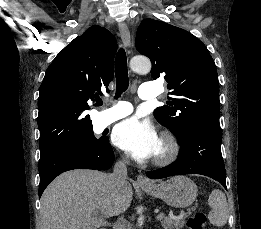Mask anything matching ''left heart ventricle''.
<instances>
[{"instance_id":"left-heart-ventricle-1","label":"left heart ventricle","mask_w":261,"mask_h":229,"mask_svg":"<svg viewBox=\"0 0 261 229\" xmlns=\"http://www.w3.org/2000/svg\"><path fill=\"white\" fill-rule=\"evenodd\" d=\"M160 149H161V146H160V144H159V147H158L156 153H158V152L160 151Z\"/></svg>"}]
</instances>
